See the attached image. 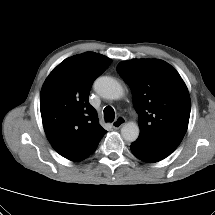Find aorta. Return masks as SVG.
<instances>
[{
    "label": "aorta",
    "instance_id": "obj_1",
    "mask_svg": "<svg viewBox=\"0 0 215 215\" xmlns=\"http://www.w3.org/2000/svg\"><path fill=\"white\" fill-rule=\"evenodd\" d=\"M94 90L105 99L118 100L123 97L124 90L117 80L108 76L98 77L94 82ZM124 140L133 142L139 136V126L135 122H128L121 128Z\"/></svg>",
    "mask_w": 215,
    "mask_h": 215
}]
</instances>
